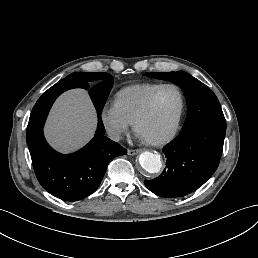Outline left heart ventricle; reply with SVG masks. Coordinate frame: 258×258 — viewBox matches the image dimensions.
<instances>
[{"label": "left heart ventricle", "mask_w": 258, "mask_h": 258, "mask_svg": "<svg viewBox=\"0 0 258 258\" xmlns=\"http://www.w3.org/2000/svg\"><path fill=\"white\" fill-rule=\"evenodd\" d=\"M178 110L176 91L171 88L161 89L154 96L147 116L140 122V133L150 138L168 135L175 125Z\"/></svg>", "instance_id": "left-heart-ventricle-1"}]
</instances>
